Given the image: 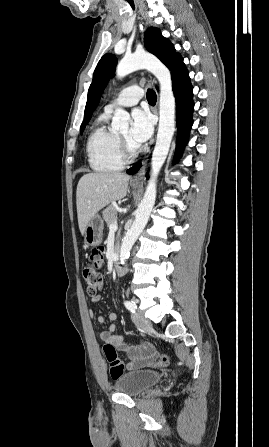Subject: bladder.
<instances>
[{"mask_svg": "<svg viewBox=\"0 0 269 447\" xmlns=\"http://www.w3.org/2000/svg\"><path fill=\"white\" fill-rule=\"evenodd\" d=\"M162 376V372L150 369L121 372L115 380L114 390L123 395L138 396L144 388L156 385Z\"/></svg>", "mask_w": 269, "mask_h": 447, "instance_id": "1", "label": "bladder"}]
</instances>
